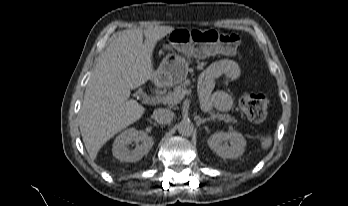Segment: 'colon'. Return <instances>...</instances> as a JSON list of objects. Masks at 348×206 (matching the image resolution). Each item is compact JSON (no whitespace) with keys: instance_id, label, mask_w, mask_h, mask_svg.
Wrapping results in <instances>:
<instances>
[{"instance_id":"obj_1","label":"colon","mask_w":348,"mask_h":206,"mask_svg":"<svg viewBox=\"0 0 348 206\" xmlns=\"http://www.w3.org/2000/svg\"><path fill=\"white\" fill-rule=\"evenodd\" d=\"M204 41L223 54L236 53L243 45L240 36L235 33L214 30L184 29L175 31L169 41L168 49ZM242 112L253 122L263 121L268 113L269 98L263 93H246L239 100Z\"/></svg>"}]
</instances>
